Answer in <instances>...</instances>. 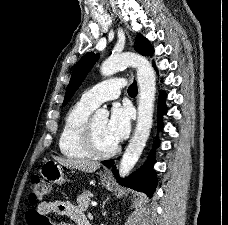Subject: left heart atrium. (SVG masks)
<instances>
[{
    "label": "left heart atrium",
    "mask_w": 228,
    "mask_h": 225,
    "mask_svg": "<svg viewBox=\"0 0 228 225\" xmlns=\"http://www.w3.org/2000/svg\"><path fill=\"white\" fill-rule=\"evenodd\" d=\"M130 118L129 108L120 105L114 106L106 126L108 138L117 143L127 137L131 126Z\"/></svg>",
    "instance_id": "obj_1"
}]
</instances>
